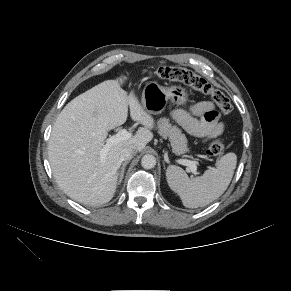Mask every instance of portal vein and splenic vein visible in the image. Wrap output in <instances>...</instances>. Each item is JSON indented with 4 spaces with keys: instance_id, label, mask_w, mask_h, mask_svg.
Wrapping results in <instances>:
<instances>
[{
    "instance_id": "portal-vein-and-splenic-vein-1",
    "label": "portal vein and splenic vein",
    "mask_w": 291,
    "mask_h": 291,
    "mask_svg": "<svg viewBox=\"0 0 291 291\" xmlns=\"http://www.w3.org/2000/svg\"><path fill=\"white\" fill-rule=\"evenodd\" d=\"M130 137L131 133L127 129H121L117 134L106 139V144L100 151L101 155L105 156L113 145L118 144L119 142H122L124 140H127ZM178 163L187 166L193 174H196L197 166L195 161L181 159L178 160Z\"/></svg>"
}]
</instances>
